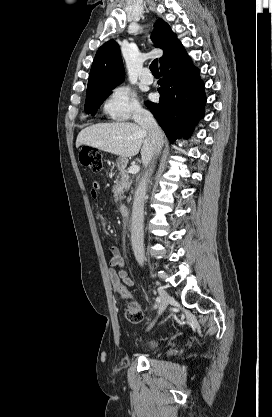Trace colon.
Masks as SVG:
<instances>
[{
    "label": "colon",
    "instance_id": "obj_1",
    "mask_svg": "<svg viewBox=\"0 0 272 417\" xmlns=\"http://www.w3.org/2000/svg\"><path fill=\"white\" fill-rule=\"evenodd\" d=\"M79 159L82 165L94 172H98L102 169V155L95 148L89 146L83 147L79 153ZM114 288L120 296L129 300L125 309L126 319L131 323H140L143 319V312L139 304L132 300V296L127 287L122 283H116Z\"/></svg>",
    "mask_w": 272,
    "mask_h": 417
}]
</instances>
